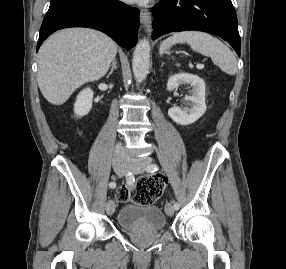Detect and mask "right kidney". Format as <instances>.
<instances>
[{
	"instance_id": "ca27d5eb",
	"label": "right kidney",
	"mask_w": 286,
	"mask_h": 269,
	"mask_svg": "<svg viewBox=\"0 0 286 269\" xmlns=\"http://www.w3.org/2000/svg\"><path fill=\"white\" fill-rule=\"evenodd\" d=\"M93 95L94 93L90 88L83 89L79 93L74 104V113L77 117L85 116L90 112L92 108Z\"/></svg>"
}]
</instances>
